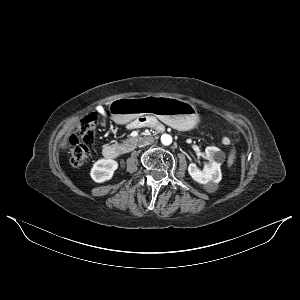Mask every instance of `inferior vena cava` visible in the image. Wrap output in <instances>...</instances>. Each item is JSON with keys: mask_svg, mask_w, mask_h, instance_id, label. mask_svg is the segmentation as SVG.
Returning <instances> with one entry per match:
<instances>
[{"mask_svg": "<svg viewBox=\"0 0 300 300\" xmlns=\"http://www.w3.org/2000/svg\"><path fill=\"white\" fill-rule=\"evenodd\" d=\"M154 142V139L152 137H145L139 140L138 146L139 147H144L147 145H150Z\"/></svg>", "mask_w": 300, "mask_h": 300, "instance_id": "1", "label": "inferior vena cava"}]
</instances>
